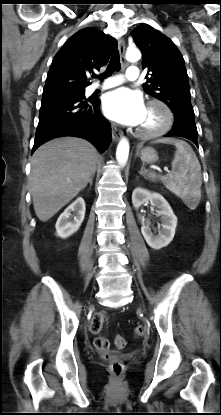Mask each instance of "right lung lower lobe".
Returning <instances> with one entry per match:
<instances>
[{"mask_svg": "<svg viewBox=\"0 0 221 415\" xmlns=\"http://www.w3.org/2000/svg\"><path fill=\"white\" fill-rule=\"evenodd\" d=\"M99 105L97 98L62 93L43 95L32 153L48 140L62 136L84 138L104 152L111 141V127Z\"/></svg>", "mask_w": 221, "mask_h": 415, "instance_id": "right-lung-lower-lobe-1", "label": "right lung lower lobe"}]
</instances>
